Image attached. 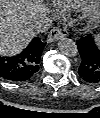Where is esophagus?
<instances>
[{
    "label": "esophagus",
    "mask_w": 100,
    "mask_h": 118,
    "mask_svg": "<svg viewBox=\"0 0 100 118\" xmlns=\"http://www.w3.org/2000/svg\"><path fill=\"white\" fill-rule=\"evenodd\" d=\"M67 34H68V31L62 30L59 27H54L53 29H51V31L49 32L47 36V42L48 43L55 42Z\"/></svg>",
    "instance_id": "34e87169"
}]
</instances>
